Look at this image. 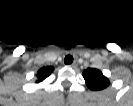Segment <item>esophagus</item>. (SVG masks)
<instances>
[{
	"label": "esophagus",
	"instance_id": "esophagus-1",
	"mask_svg": "<svg viewBox=\"0 0 133 106\" xmlns=\"http://www.w3.org/2000/svg\"><path fill=\"white\" fill-rule=\"evenodd\" d=\"M71 68H76L77 67V62H73L72 64L68 65Z\"/></svg>",
	"mask_w": 133,
	"mask_h": 106
}]
</instances>
